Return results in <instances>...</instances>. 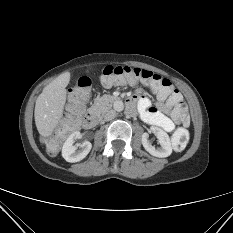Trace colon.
<instances>
[{"mask_svg": "<svg viewBox=\"0 0 233 233\" xmlns=\"http://www.w3.org/2000/svg\"><path fill=\"white\" fill-rule=\"evenodd\" d=\"M100 80L106 87L142 84L155 93L159 99L171 105L172 117L177 123L184 125L189 123L187 104L172 83L158 74L140 68L107 65L102 69ZM90 90L91 81L87 77H81L70 90L65 119L55 133L45 140L46 147L50 152H56L61 143L80 127ZM188 141L189 132L180 128L172 137V147L176 151H181L187 146Z\"/></svg>", "mask_w": 233, "mask_h": 233, "instance_id": "5ec220e1", "label": "colon"}]
</instances>
